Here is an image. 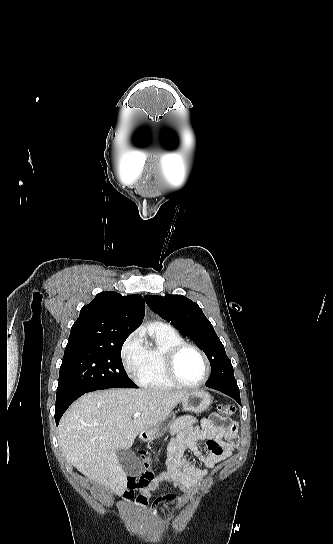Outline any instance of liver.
I'll return each instance as SVG.
<instances>
[{"label": "liver", "mask_w": 333, "mask_h": 544, "mask_svg": "<svg viewBox=\"0 0 333 544\" xmlns=\"http://www.w3.org/2000/svg\"><path fill=\"white\" fill-rule=\"evenodd\" d=\"M186 394L121 388L85 394L61 418L59 445L78 471L121 495L127 477L116 449L130 447L140 432L166 419ZM136 412L141 416L134 418Z\"/></svg>", "instance_id": "obj_1"}]
</instances>
